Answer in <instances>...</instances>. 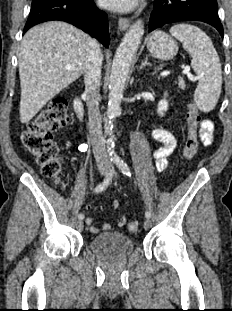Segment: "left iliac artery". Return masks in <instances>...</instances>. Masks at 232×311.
<instances>
[{"mask_svg":"<svg viewBox=\"0 0 232 311\" xmlns=\"http://www.w3.org/2000/svg\"><path fill=\"white\" fill-rule=\"evenodd\" d=\"M114 162L115 164L117 165V167L121 170V172L124 174V175H127L129 177H131V171H130V168L128 167V165L119 157L115 158L114 159ZM145 216L146 218H150L151 217V213L150 211H146L145 212Z\"/></svg>","mask_w":232,"mask_h":311,"instance_id":"obj_1","label":"left iliac artery"}]
</instances>
